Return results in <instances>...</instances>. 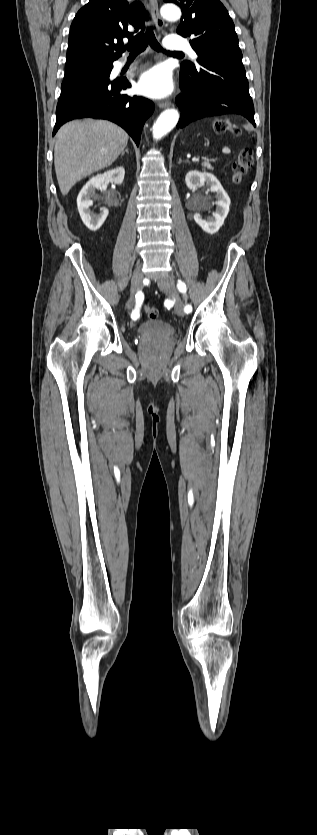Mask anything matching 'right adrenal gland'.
<instances>
[{"label":"right adrenal gland","mask_w":317,"mask_h":835,"mask_svg":"<svg viewBox=\"0 0 317 835\" xmlns=\"http://www.w3.org/2000/svg\"><path fill=\"white\" fill-rule=\"evenodd\" d=\"M125 152H126V153H128V148H126V149H125V150L121 153V157L125 154Z\"/></svg>","instance_id":"right-adrenal-gland-1"}]
</instances>
